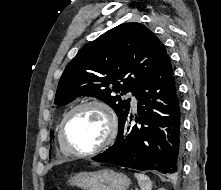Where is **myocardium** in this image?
I'll use <instances>...</instances> for the list:
<instances>
[{
    "mask_svg": "<svg viewBox=\"0 0 221 190\" xmlns=\"http://www.w3.org/2000/svg\"><path fill=\"white\" fill-rule=\"evenodd\" d=\"M84 107H97L103 110L108 120V129L106 137L99 145L89 150H78L67 141L65 136V129L67 121L70 118V116L77 110ZM118 127H119L118 118L112 106L104 100L90 99L76 104L65 113L59 124L58 135L60 143L68 153L75 156L86 157L97 154L107 149L114 142L118 134Z\"/></svg>",
    "mask_w": 221,
    "mask_h": 190,
    "instance_id": "myocardium-1",
    "label": "myocardium"
}]
</instances>
